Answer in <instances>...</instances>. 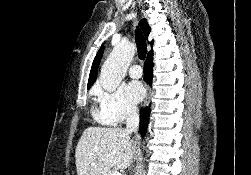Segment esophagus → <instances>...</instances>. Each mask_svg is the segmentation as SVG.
<instances>
[{
	"instance_id": "esophagus-1",
	"label": "esophagus",
	"mask_w": 251,
	"mask_h": 175,
	"mask_svg": "<svg viewBox=\"0 0 251 175\" xmlns=\"http://www.w3.org/2000/svg\"><path fill=\"white\" fill-rule=\"evenodd\" d=\"M151 95H152L151 89H150V87L148 85H146V96H145V99L143 101V107H147L149 105Z\"/></svg>"
}]
</instances>
